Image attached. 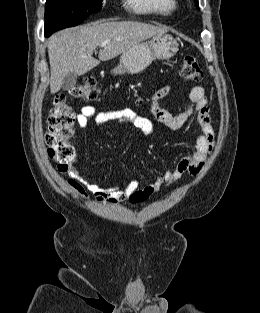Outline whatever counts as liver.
<instances>
[{"instance_id":"obj_1","label":"liver","mask_w":260,"mask_h":313,"mask_svg":"<svg viewBox=\"0 0 260 313\" xmlns=\"http://www.w3.org/2000/svg\"><path fill=\"white\" fill-rule=\"evenodd\" d=\"M167 31L166 27L136 21H96L53 34L47 44L51 93L55 94L61 89L63 78L68 73L84 75L101 61L113 59L132 46ZM102 44L105 46L97 60L92 54Z\"/></svg>"}]
</instances>
